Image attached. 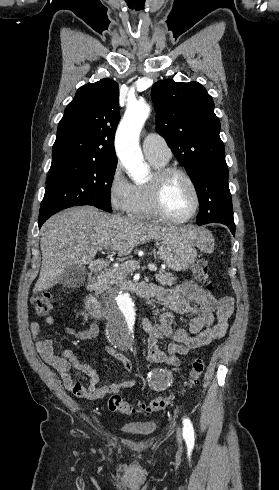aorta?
Wrapping results in <instances>:
<instances>
[{
	"mask_svg": "<svg viewBox=\"0 0 279 490\" xmlns=\"http://www.w3.org/2000/svg\"><path fill=\"white\" fill-rule=\"evenodd\" d=\"M150 114V106L145 102H134L127 106L115 135L116 153L136 181H142L148 174V165L139 146L142 127ZM136 308L132 296L120 292L109 305L107 334L113 343L128 347L134 338Z\"/></svg>",
	"mask_w": 279,
	"mask_h": 490,
	"instance_id": "1",
	"label": "aorta"
}]
</instances>
